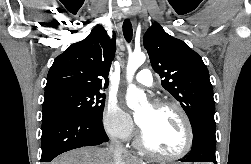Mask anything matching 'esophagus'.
Listing matches in <instances>:
<instances>
[{
  "instance_id": "34e87169",
  "label": "esophagus",
  "mask_w": 251,
  "mask_h": 164,
  "mask_svg": "<svg viewBox=\"0 0 251 164\" xmlns=\"http://www.w3.org/2000/svg\"><path fill=\"white\" fill-rule=\"evenodd\" d=\"M126 17L127 18H131L132 17V13L131 12H127L126 13ZM133 25H135V22L133 21Z\"/></svg>"
}]
</instances>
